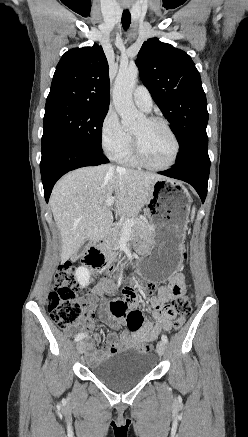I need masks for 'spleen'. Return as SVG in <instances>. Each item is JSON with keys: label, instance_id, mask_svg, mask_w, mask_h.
Listing matches in <instances>:
<instances>
[{"label": "spleen", "instance_id": "spleen-1", "mask_svg": "<svg viewBox=\"0 0 248 437\" xmlns=\"http://www.w3.org/2000/svg\"><path fill=\"white\" fill-rule=\"evenodd\" d=\"M194 216H195V208H193V210H192V215H191V219H193V218H194Z\"/></svg>", "mask_w": 248, "mask_h": 437}]
</instances>
